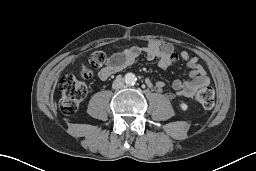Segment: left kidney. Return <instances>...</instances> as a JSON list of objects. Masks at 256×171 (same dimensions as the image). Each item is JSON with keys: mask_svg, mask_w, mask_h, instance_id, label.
Instances as JSON below:
<instances>
[{"mask_svg": "<svg viewBox=\"0 0 256 171\" xmlns=\"http://www.w3.org/2000/svg\"><path fill=\"white\" fill-rule=\"evenodd\" d=\"M180 108L183 110V111H186L188 109V105L184 102H181L180 103Z\"/></svg>", "mask_w": 256, "mask_h": 171, "instance_id": "5707ae66", "label": "left kidney"}]
</instances>
